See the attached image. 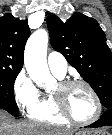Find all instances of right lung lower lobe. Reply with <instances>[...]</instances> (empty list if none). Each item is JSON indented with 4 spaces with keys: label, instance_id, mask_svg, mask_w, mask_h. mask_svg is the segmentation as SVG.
<instances>
[{
    "label": "right lung lower lobe",
    "instance_id": "obj_1",
    "mask_svg": "<svg viewBox=\"0 0 112 135\" xmlns=\"http://www.w3.org/2000/svg\"><path fill=\"white\" fill-rule=\"evenodd\" d=\"M1 109H4V108H1ZM4 110L8 111L11 115H13V116H15V117L18 116V114H19V113H13V112H10V111L7 110V109H4Z\"/></svg>",
    "mask_w": 112,
    "mask_h": 135
}]
</instances>
